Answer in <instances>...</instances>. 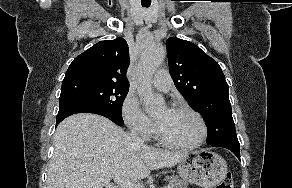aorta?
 Returning <instances> with one entry per match:
<instances>
[{
	"label": "aorta",
	"mask_w": 292,
	"mask_h": 188,
	"mask_svg": "<svg viewBox=\"0 0 292 188\" xmlns=\"http://www.w3.org/2000/svg\"><path fill=\"white\" fill-rule=\"evenodd\" d=\"M165 56L166 51L162 45H150L143 51L137 67L138 94L150 112H155L164 105L163 98L153 92L150 82Z\"/></svg>",
	"instance_id": "obj_1"
}]
</instances>
